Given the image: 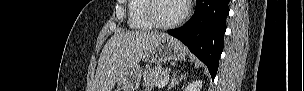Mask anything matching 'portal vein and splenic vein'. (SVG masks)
Listing matches in <instances>:
<instances>
[{
    "instance_id": "obj_1",
    "label": "portal vein and splenic vein",
    "mask_w": 304,
    "mask_h": 91,
    "mask_svg": "<svg viewBox=\"0 0 304 91\" xmlns=\"http://www.w3.org/2000/svg\"><path fill=\"white\" fill-rule=\"evenodd\" d=\"M168 80H169V75L164 78V81L162 82L161 86L165 85L168 82Z\"/></svg>"
}]
</instances>
